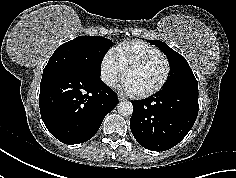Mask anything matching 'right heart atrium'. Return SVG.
<instances>
[{
	"mask_svg": "<svg viewBox=\"0 0 236 178\" xmlns=\"http://www.w3.org/2000/svg\"><path fill=\"white\" fill-rule=\"evenodd\" d=\"M99 71L103 83L112 88L122 78L124 69L115 60L111 52H107L101 58Z\"/></svg>",
	"mask_w": 236,
	"mask_h": 178,
	"instance_id": "obj_1",
	"label": "right heart atrium"
}]
</instances>
